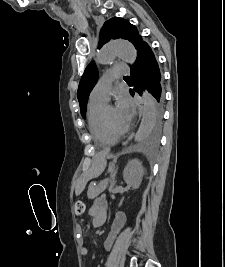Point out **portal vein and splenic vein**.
I'll list each match as a JSON object with an SVG mask.
<instances>
[{"label":"portal vein and splenic vein","mask_w":225,"mask_h":267,"mask_svg":"<svg viewBox=\"0 0 225 267\" xmlns=\"http://www.w3.org/2000/svg\"><path fill=\"white\" fill-rule=\"evenodd\" d=\"M108 182V179H105L104 181H102V183H107Z\"/></svg>","instance_id":"portal-vein-and-splenic-vein-1"}]
</instances>
